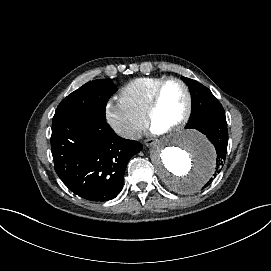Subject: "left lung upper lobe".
<instances>
[{
	"label": "left lung upper lobe",
	"mask_w": 271,
	"mask_h": 271,
	"mask_svg": "<svg viewBox=\"0 0 271 271\" xmlns=\"http://www.w3.org/2000/svg\"><path fill=\"white\" fill-rule=\"evenodd\" d=\"M182 79L188 85L192 97L191 116L186 128L195 129L208 111L221 108L222 105L207 87L183 76Z\"/></svg>",
	"instance_id": "1"
}]
</instances>
